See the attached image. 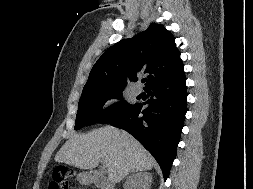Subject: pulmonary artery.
Returning <instances> with one entry per match:
<instances>
[{"label":"pulmonary artery","mask_w":253,"mask_h":189,"mask_svg":"<svg viewBox=\"0 0 253 189\" xmlns=\"http://www.w3.org/2000/svg\"><path fill=\"white\" fill-rule=\"evenodd\" d=\"M141 92H142V87H141V85L138 83V84H136V85L134 86V88H133V93H134L135 95H139Z\"/></svg>","instance_id":"obj_1"}]
</instances>
